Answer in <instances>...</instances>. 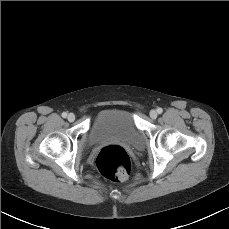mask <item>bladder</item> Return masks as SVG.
<instances>
[{
  "instance_id": "31cf9c89",
  "label": "bladder",
  "mask_w": 229,
  "mask_h": 229,
  "mask_svg": "<svg viewBox=\"0 0 229 229\" xmlns=\"http://www.w3.org/2000/svg\"><path fill=\"white\" fill-rule=\"evenodd\" d=\"M119 141L136 149L143 147V135L133 116L124 110L110 109L100 112L89 130V144Z\"/></svg>"
}]
</instances>
